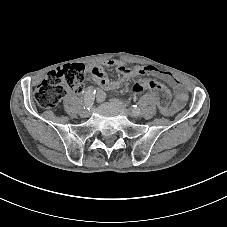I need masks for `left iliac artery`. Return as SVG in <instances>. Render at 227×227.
Returning a JSON list of instances; mask_svg holds the SVG:
<instances>
[{"instance_id":"1","label":"left iliac artery","mask_w":227,"mask_h":227,"mask_svg":"<svg viewBox=\"0 0 227 227\" xmlns=\"http://www.w3.org/2000/svg\"><path fill=\"white\" fill-rule=\"evenodd\" d=\"M132 113L133 114H137V115H139V113H140V109H139V107L137 106V105H133L132 106Z\"/></svg>"}]
</instances>
